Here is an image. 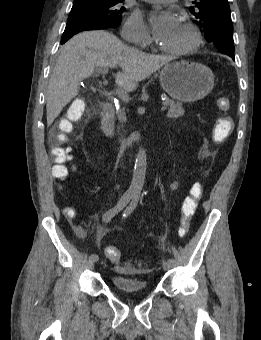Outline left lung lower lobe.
I'll use <instances>...</instances> for the list:
<instances>
[{
	"mask_svg": "<svg viewBox=\"0 0 261 340\" xmlns=\"http://www.w3.org/2000/svg\"><path fill=\"white\" fill-rule=\"evenodd\" d=\"M229 56H230L233 60L235 59V58H234V55H229Z\"/></svg>",
	"mask_w": 261,
	"mask_h": 340,
	"instance_id": "obj_1",
	"label": "left lung lower lobe"
}]
</instances>
